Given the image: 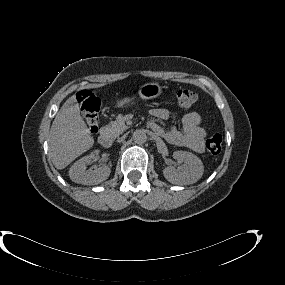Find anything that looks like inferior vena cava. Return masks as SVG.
<instances>
[{
    "label": "inferior vena cava",
    "mask_w": 285,
    "mask_h": 285,
    "mask_svg": "<svg viewBox=\"0 0 285 285\" xmlns=\"http://www.w3.org/2000/svg\"><path fill=\"white\" fill-rule=\"evenodd\" d=\"M124 141H125V138L123 136H120L118 139H117V144L118 145H123L124 144Z\"/></svg>",
    "instance_id": "obj_1"
}]
</instances>
